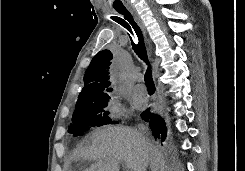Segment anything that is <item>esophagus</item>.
Instances as JSON below:
<instances>
[{
    "label": "esophagus",
    "mask_w": 245,
    "mask_h": 171,
    "mask_svg": "<svg viewBox=\"0 0 245 171\" xmlns=\"http://www.w3.org/2000/svg\"><path fill=\"white\" fill-rule=\"evenodd\" d=\"M126 7H127V9L132 13V15H133L135 21L137 22V24H138L139 27L141 28V30H142L144 36L146 37L147 42L149 43V41H148V39H147L146 28H145V26H144V24H143V22H142L140 16L137 14L135 8H134L131 4H126Z\"/></svg>",
    "instance_id": "34e87169"
}]
</instances>
